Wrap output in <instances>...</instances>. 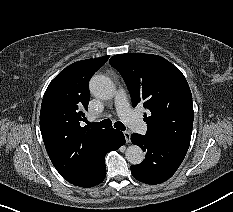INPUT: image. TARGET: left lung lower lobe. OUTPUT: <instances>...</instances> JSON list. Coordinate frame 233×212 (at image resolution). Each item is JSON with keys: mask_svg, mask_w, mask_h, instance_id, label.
<instances>
[{"mask_svg": "<svg viewBox=\"0 0 233 212\" xmlns=\"http://www.w3.org/2000/svg\"><path fill=\"white\" fill-rule=\"evenodd\" d=\"M131 141L146 152L142 163L131 166V173L138 181L147 184H160L169 179L182 163L188 150L136 133L131 135Z\"/></svg>", "mask_w": 233, "mask_h": 212, "instance_id": "0a47b994", "label": "left lung lower lobe"}]
</instances>
